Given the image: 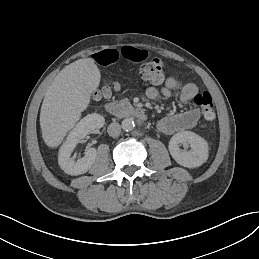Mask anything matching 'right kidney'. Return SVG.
I'll return each mask as SVG.
<instances>
[{
	"label": "right kidney",
	"mask_w": 259,
	"mask_h": 259,
	"mask_svg": "<svg viewBox=\"0 0 259 259\" xmlns=\"http://www.w3.org/2000/svg\"><path fill=\"white\" fill-rule=\"evenodd\" d=\"M104 124V118L98 114H91L78 123L76 128L70 133L67 141L62 146L59 155V164L64 172L68 175L78 176L85 174L93 166L97 151L90 148L85 151V157L73 160L72 152L76 146L83 141L86 136L96 129H100Z\"/></svg>",
	"instance_id": "right-kidney-1"
}]
</instances>
